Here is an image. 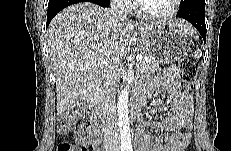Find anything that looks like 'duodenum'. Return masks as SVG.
Listing matches in <instances>:
<instances>
[{"label":"duodenum","instance_id":"obj_1","mask_svg":"<svg viewBox=\"0 0 231 151\" xmlns=\"http://www.w3.org/2000/svg\"><path fill=\"white\" fill-rule=\"evenodd\" d=\"M96 96H97V86H93L90 90L89 95L84 100V105L90 112L97 111L96 115L94 114L91 115V119L93 122H96L97 120H101L102 122L107 123L109 122V113L106 109L96 108V105L94 103ZM141 105L142 103L138 98H135L133 100L132 107H133L134 115L138 116L140 114Z\"/></svg>","mask_w":231,"mask_h":151}]
</instances>
